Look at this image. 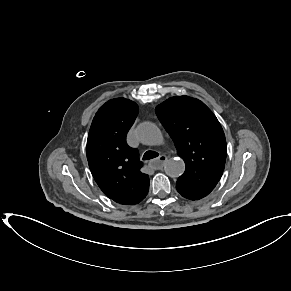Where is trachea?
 I'll return each instance as SVG.
<instances>
[{
	"label": "trachea",
	"mask_w": 291,
	"mask_h": 291,
	"mask_svg": "<svg viewBox=\"0 0 291 291\" xmlns=\"http://www.w3.org/2000/svg\"><path fill=\"white\" fill-rule=\"evenodd\" d=\"M158 156V153L157 152H154V151H147L145 152V154L143 155V160H149V159H152V158H155Z\"/></svg>",
	"instance_id": "trachea-1"
}]
</instances>
